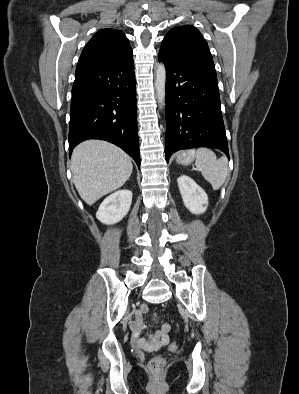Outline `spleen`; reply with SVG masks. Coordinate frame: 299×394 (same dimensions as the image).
<instances>
[{
  "instance_id": "obj_1",
  "label": "spleen",
  "mask_w": 299,
  "mask_h": 394,
  "mask_svg": "<svg viewBox=\"0 0 299 394\" xmlns=\"http://www.w3.org/2000/svg\"><path fill=\"white\" fill-rule=\"evenodd\" d=\"M195 155V165L201 171L203 177L218 190L225 182L228 174V160L225 156L216 158L215 153L207 148L191 151Z\"/></svg>"
}]
</instances>
